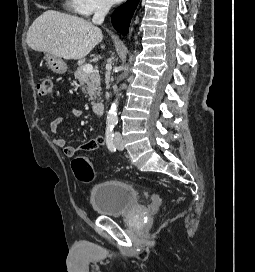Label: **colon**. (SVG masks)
I'll return each mask as SVG.
<instances>
[{
    "mask_svg": "<svg viewBox=\"0 0 255 272\" xmlns=\"http://www.w3.org/2000/svg\"><path fill=\"white\" fill-rule=\"evenodd\" d=\"M39 95L43 97H52L53 78L50 75L42 77L37 86ZM73 172L78 180L89 183L94 178V170L89 159L86 156H79L72 162Z\"/></svg>",
    "mask_w": 255,
    "mask_h": 272,
    "instance_id": "1",
    "label": "colon"
}]
</instances>
